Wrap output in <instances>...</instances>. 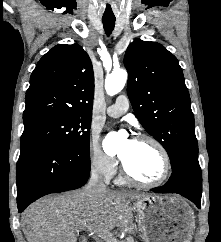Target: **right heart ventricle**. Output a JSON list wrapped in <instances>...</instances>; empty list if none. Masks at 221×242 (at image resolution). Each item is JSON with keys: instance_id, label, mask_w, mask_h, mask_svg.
Masks as SVG:
<instances>
[{"instance_id": "e07e8e85", "label": "right heart ventricle", "mask_w": 221, "mask_h": 242, "mask_svg": "<svg viewBox=\"0 0 221 242\" xmlns=\"http://www.w3.org/2000/svg\"><path fill=\"white\" fill-rule=\"evenodd\" d=\"M117 182H118L119 184H124V183L126 182V180H125L123 177H119V178L117 179Z\"/></svg>"}]
</instances>
